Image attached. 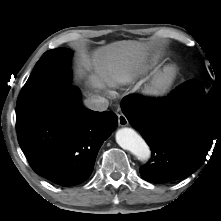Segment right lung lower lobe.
Here are the masks:
<instances>
[{
  "mask_svg": "<svg viewBox=\"0 0 221 221\" xmlns=\"http://www.w3.org/2000/svg\"><path fill=\"white\" fill-rule=\"evenodd\" d=\"M43 81L29 78L24 87ZM117 125L114 113L85 108L79 90L67 85L37 118L16 130L37 174L57 185L73 186L91 175L101 145Z\"/></svg>",
  "mask_w": 221,
  "mask_h": 221,
  "instance_id": "1",
  "label": "right lung lower lobe"
}]
</instances>
